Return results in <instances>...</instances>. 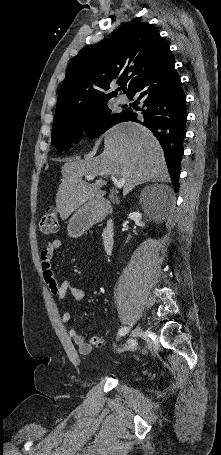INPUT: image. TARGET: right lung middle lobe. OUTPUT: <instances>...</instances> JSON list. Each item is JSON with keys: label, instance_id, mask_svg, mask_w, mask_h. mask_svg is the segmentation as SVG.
<instances>
[{"label": "right lung middle lobe", "instance_id": "obj_1", "mask_svg": "<svg viewBox=\"0 0 221 455\" xmlns=\"http://www.w3.org/2000/svg\"><path fill=\"white\" fill-rule=\"evenodd\" d=\"M107 102L55 122L52 143L56 149L59 152L67 151L73 143L80 141L84 131L90 138H94L121 122L126 110L120 114H114L107 106Z\"/></svg>", "mask_w": 221, "mask_h": 455}]
</instances>
